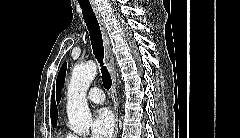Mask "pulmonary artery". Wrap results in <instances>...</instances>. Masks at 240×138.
<instances>
[{"label": "pulmonary artery", "instance_id": "pulmonary-artery-1", "mask_svg": "<svg viewBox=\"0 0 240 138\" xmlns=\"http://www.w3.org/2000/svg\"><path fill=\"white\" fill-rule=\"evenodd\" d=\"M88 100L94 104L104 103L103 91L99 88H92L88 93Z\"/></svg>", "mask_w": 240, "mask_h": 138}]
</instances>
